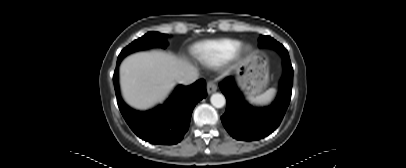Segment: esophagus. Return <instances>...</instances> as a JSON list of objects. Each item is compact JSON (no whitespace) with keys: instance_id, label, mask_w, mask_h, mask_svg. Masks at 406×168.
<instances>
[{"instance_id":"34e87169","label":"esophagus","mask_w":406,"mask_h":168,"mask_svg":"<svg viewBox=\"0 0 406 168\" xmlns=\"http://www.w3.org/2000/svg\"><path fill=\"white\" fill-rule=\"evenodd\" d=\"M217 90V85L214 81H208L207 82V93L212 94Z\"/></svg>"}]
</instances>
